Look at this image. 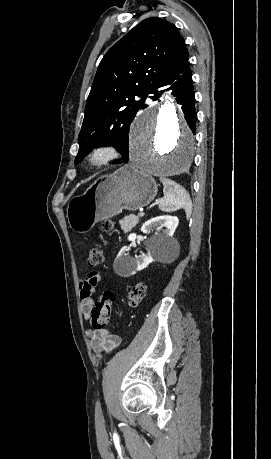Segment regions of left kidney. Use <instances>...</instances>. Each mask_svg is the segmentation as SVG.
I'll return each instance as SVG.
<instances>
[{"label": "left kidney", "mask_w": 271, "mask_h": 459, "mask_svg": "<svg viewBox=\"0 0 271 459\" xmlns=\"http://www.w3.org/2000/svg\"><path fill=\"white\" fill-rule=\"evenodd\" d=\"M178 222L177 216H157V218H151V220L145 222L141 228V231H144V233L150 231L151 228H157V226H159V228L164 226L166 229H164L163 233L155 235L150 245L149 253H143V255H140L137 259H130V261H128V253H126L128 247L124 245L115 259L117 265L120 267L118 273H121L124 277H126V275H133V273H136L139 269L147 267L148 263H151V261H155L154 257H161L166 251H172V253H174L175 241L172 235L178 226ZM136 237L137 233H130V235H128L129 241H133Z\"/></svg>", "instance_id": "obj_1"}]
</instances>
